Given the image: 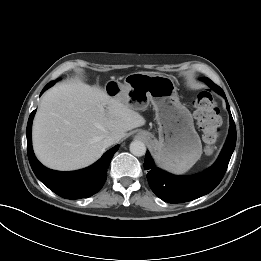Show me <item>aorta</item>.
<instances>
[{
    "label": "aorta",
    "mask_w": 261,
    "mask_h": 261,
    "mask_svg": "<svg viewBox=\"0 0 261 261\" xmlns=\"http://www.w3.org/2000/svg\"><path fill=\"white\" fill-rule=\"evenodd\" d=\"M130 152L137 157H141L146 153V146L142 141L134 140L130 144Z\"/></svg>",
    "instance_id": "obj_1"
}]
</instances>
